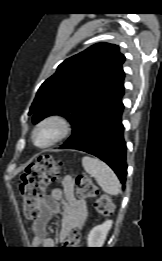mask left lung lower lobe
Listing matches in <instances>:
<instances>
[{
	"instance_id": "obj_1",
	"label": "left lung lower lobe",
	"mask_w": 162,
	"mask_h": 261,
	"mask_svg": "<svg viewBox=\"0 0 162 261\" xmlns=\"http://www.w3.org/2000/svg\"><path fill=\"white\" fill-rule=\"evenodd\" d=\"M124 89L93 113L60 149H76L92 154L107 163L125 184L127 175L126 142L122 113Z\"/></svg>"
}]
</instances>
